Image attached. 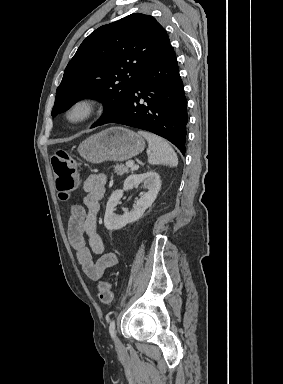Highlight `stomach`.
I'll use <instances>...</instances> for the list:
<instances>
[{
    "label": "stomach",
    "mask_w": 283,
    "mask_h": 384,
    "mask_svg": "<svg viewBox=\"0 0 283 384\" xmlns=\"http://www.w3.org/2000/svg\"><path fill=\"white\" fill-rule=\"evenodd\" d=\"M145 148L143 138L126 128H108L99 134L86 138L79 144L78 152L91 164L101 162H124L141 154Z\"/></svg>",
    "instance_id": "0dacf381"
}]
</instances>
